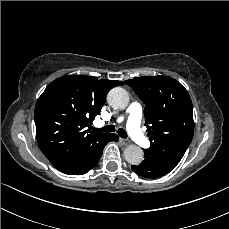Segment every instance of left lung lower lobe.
Returning a JSON list of instances; mask_svg holds the SVG:
<instances>
[{
    "label": "left lung lower lobe",
    "instance_id": "0a47b994",
    "mask_svg": "<svg viewBox=\"0 0 229 229\" xmlns=\"http://www.w3.org/2000/svg\"><path fill=\"white\" fill-rule=\"evenodd\" d=\"M132 170L144 178L156 179L168 173L162 172L157 169L150 161L144 159L139 165H132Z\"/></svg>",
    "mask_w": 229,
    "mask_h": 229
}]
</instances>
